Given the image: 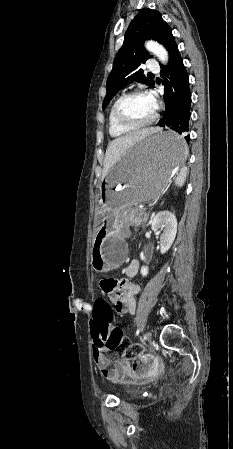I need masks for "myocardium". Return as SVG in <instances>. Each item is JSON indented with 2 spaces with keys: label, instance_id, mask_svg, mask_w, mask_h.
Instances as JSON below:
<instances>
[{
  "label": "myocardium",
  "instance_id": "f54148a6",
  "mask_svg": "<svg viewBox=\"0 0 233 449\" xmlns=\"http://www.w3.org/2000/svg\"><path fill=\"white\" fill-rule=\"evenodd\" d=\"M137 95H147V96H150V94H149L148 92H146V91L139 90V89H137V90H132V91H130V92H127V93L121 95V96L115 101V103H114V105H113V108H112V115H113L114 121H115L120 127L124 128V129L136 130V129L145 128V127H148V126H150L151 124H153V123L155 122V120L157 119V116H158V105H157L156 101H154V103H155V110H154V113H153V115H152L147 121L140 122V123H130V122L126 121L125 119H123V118L120 116L119 108H120L121 103H122L124 100H126L127 98H129V97L137 96Z\"/></svg>",
  "mask_w": 233,
  "mask_h": 449
}]
</instances>
